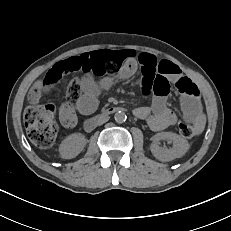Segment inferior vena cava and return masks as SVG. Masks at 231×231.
<instances>
[{
    "label": "inferior vena cava",
    "instance_id": "inferior-vena-cava-1",
    "mask_svg": "<svg viewBox=\"0 0 231 231\" xmlns=\"http://www.w3.org/2000/svg\"><path fill=\"white\" fill-rule=\"evenodd\" d=\"M110 120V117L109 116H106L104 118L101 119V122L99 123V126L100 127H103L104 126V123H106L107 121Z\"/></svg>",
    "mask_w": 231,
    "mask_h": 231
}]
</instances>
